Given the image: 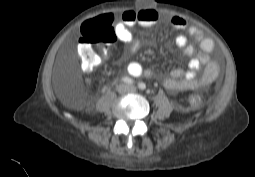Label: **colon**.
<instances>
[{"mask_svg":"<svg viewBox=\"0 0 255 177\" xmlns=\"http://www.w3.org/2000/svg\"><path fill=\"white\" fill-rule=\"evenodd\" d=\"M116 40V35L107 16H100L85 21L80 29L78 55L82 67L91 70L96 64L93 45H110ZM198 97H196V100Z\"/></svg>","mask_w":255,"mask_h":177,"instance_id":"5ec220e1","label":"colon"}]
</instances>
